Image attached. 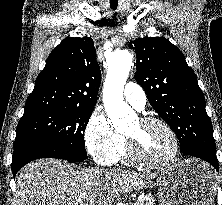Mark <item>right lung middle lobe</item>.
<instances>
[{
    "label": "right lung middle lobe",
    "instance_id": "obj_1",
    "mask_svg": "<svg viewBox=\"0 0 222 205\" xmlns=\"http://www.w3.org/2000/svg\"><path fill=\"white\" fill-rule=\"evenodd\" d=\"M94 108H49L24 113L20 119L15 142L42 140L87 159L84 131Z\"/></svg>",
    "mask_w": 222,
    "mask_h": 205
}]
</instances>
